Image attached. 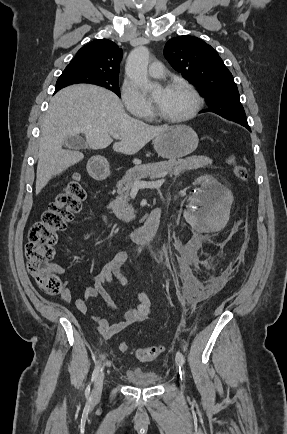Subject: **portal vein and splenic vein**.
Instances as JSON below:
<instances>
[{"instance_id": "portal-vein-and-splenic-vein-1", "label": "portal vein and splenic vein", "mask_w": 287, "mask_h": 434, "mask_svg": "<svg viewBox=\"0 0 287 434\" xmlns=\"http://www.w3.org/2000/svg\"><path fill=\"white\" fill-rule=\"evenodd\" d=\"M111 135H112V137L115 138V139H119V138H120V135L117 134V133H113V134H111ZM165 175H166V174H163V175H162V178L159 179V180H157V181H149V182H146V181L136 180V181L133 183V187L139 189V188H154V187L161 186V185L165 182V178H164Z\"/></svg>"}]
</instances>
